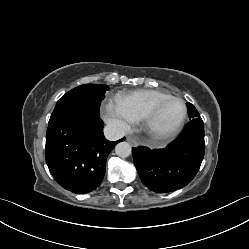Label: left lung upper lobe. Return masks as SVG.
<instances>
[{
    "label": "left lung upper lobe",
    "instance_id": "left-lung-upper-lobe-1",
    "mask_svg": "<svg viewBox=\"0 0 249 249\" xmlns=\"http://www.w3.org/2000/svg\"><path fill=\"white\" fill-rule=\"evenodd\" d=\"M186 105H187V109H188V116H189V118L191 120H193V119H201L198 111L196 110V108L191 103H187Z\"/></svg>",
    "mask_w": 249,
    "mask_h": 249
}]
</instances>
